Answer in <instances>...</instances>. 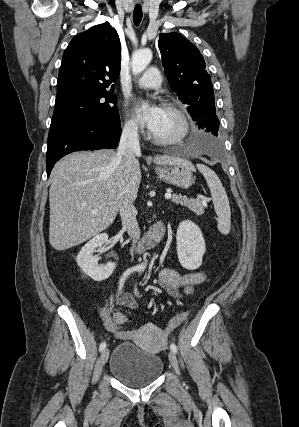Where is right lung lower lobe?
<instances>
[{
	"label": "right lung lower lobe",
	"instance_id": "right-lung-lower-lobe-1",
	"mask_svg": "<svg viewBox=\"0 0 299 427\" xmlns=\"http://www.w3.org/2000/svg\"><path fill=\"white\" fill-rule=\"evenodd\" d=\"M120 133V124L87 118H76L52 125L47 143V176L50 175L55 162L70 152L115 148Z\"/></svg>",
	"mask_w": 299,
	"mask_h": 427
}]
</instances>
